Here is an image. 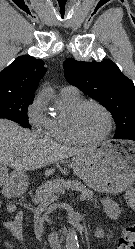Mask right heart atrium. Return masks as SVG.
<instances>
[{"label": "right heart atrium", "mask_w": 135, "mask_h": 249, "mask_svg": "<svg viewBox=\"0 0 135 249\" xmlns=\"http://www.w3.org/2000/svg\"><path fill=\"white\" fill-rule=\"evenodd\" d=\"M45 103L42 95L34 98L27 109V118L31 126L38 133H47L50 119L44 113Z\"/></svg>", "instance_id": "obj_1"}]
</instances>
